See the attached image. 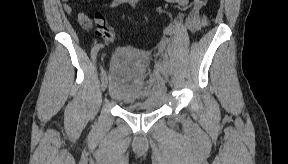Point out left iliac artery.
<instances>
[{
    "label": "left iliac artery",
    "instance_id": "obj_1",
    "mask_svg": "<svg viewBox=\"0 0 288 164\" xmlns=\"http://www.w3.org/2000/svg\"><path fill=\"white\" fill-rule=\"evenodd\" d=\"M163 61H164L165 63H168V62H169V58H168L167 55H164V57H163Z\"/></svg>",
    "mask_w": 288,
    "mask_h": 164
}]
</instances>
